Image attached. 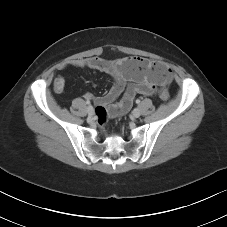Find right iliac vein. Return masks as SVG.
<instances>
[{"label": "right iliac vein", "instance_id": "obj_1", "mask_svg": "<svg viewBox=\"0 0 227 227\" xmlns=\"http://www.w3.org/2000/svg\"><path fill=\"white\" fill-rule=\"evenodd\" d=\"M87 112H88L89 116H93L94 115L93 107H88Z\"/></svg>", "mask_w": 227, "mask_h": 227}]
</instances>
